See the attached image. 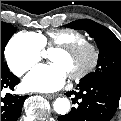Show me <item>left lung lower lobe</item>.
Listing matches in <instances>:
<instances>
[{
    "label": "left lung lower lobe",
    "mask_w": 121,
    "mask_h": 121,
    "mask_svg": "<svg viewBox=\"0 0 121 121\" xmlns=\"http://www.w3.org/2000/svg\"><path fill=\"white\" fill-rule=\"evenodd\" d=\"M78 91L67 92L78 105L58 121H110L121 96V88L102 80L80 81Z\"/></svg>",
    "instance_id": "left-lung-lower-lobe-1"
}]
</instances>
